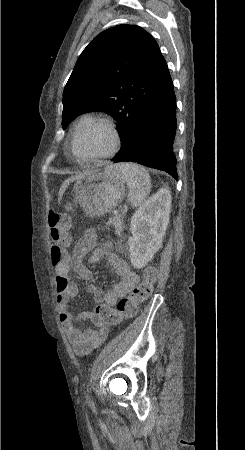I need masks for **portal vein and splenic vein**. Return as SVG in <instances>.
<instances>
[{
	"label": "portal vein and splenic vein",
	"instance_id": "obj_1",
	"mask_svg": "<svg viewBox=\"0 0 245 450\" xmlns=\"http://www.w3.org/2000/svg\"><path fill=\"white\" fill-rule=\"evenodd\" d=\"M114 214H118V211H115Z\"/></svg>",
	"mask_w": 245,
	"mask_h": 450
}]
</instances>
